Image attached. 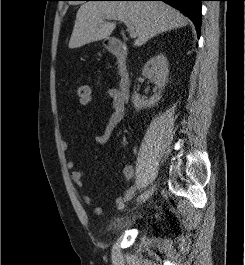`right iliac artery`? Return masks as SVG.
Instances as JSON below:
<instances>
[{"label":"right iliac artery","instance_id":"right-iliac-artery-1","mask_svg":"<svg viewBox=\"0 0 245 265\" xmlns=\"http://www.w3.org/2000/svg\"><path fill=\"white\" fill-rule=\"evenodd\" d=\"M117 207H118L119 210H123L125 208V204L124 203H119L117 205Z\"/></svg>","mask_w":245,"mask_h":265}]
</instances>
